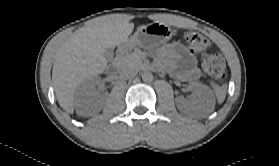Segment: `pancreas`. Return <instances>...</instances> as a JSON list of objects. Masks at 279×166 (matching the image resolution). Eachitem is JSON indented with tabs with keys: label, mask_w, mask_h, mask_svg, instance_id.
Returning a JSON list of instances; mask_svg holds the SVG:
<instances>
[{
	"label": "pancreas",
	"mask_w": 279,
	"mask_h": 166,
	"mask_svg": "<svg viewBox=\"0 0 279 166\" xmlns=\"http://www.w3.org/2000/svg\"><path fill=\"white\" fill-rule=\"evenodd\" d=\"M121 69H140L143 66V61L139 50L126 54L119 58Z\"/></svg>",
	"instance_id": "cf45deb5"
}]
</instances>
